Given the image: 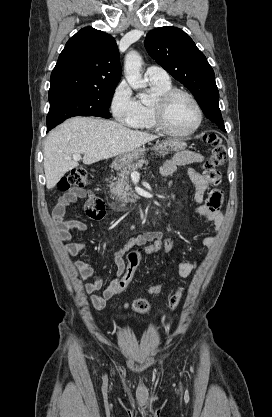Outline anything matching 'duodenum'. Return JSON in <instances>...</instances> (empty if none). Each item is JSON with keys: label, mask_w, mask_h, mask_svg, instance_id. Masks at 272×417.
<instances>
[{"label": "duodenum", "mask_w": 272, "mask_h": 417, "mask_svg": "<svg viewBox=\"0 0 272 417\" xmlns=\"http://www.w3.org/2000/svg\"><path fill=\"white\" fill-rule=\"evenodd\" d=\"M111 207H112L113 209H115V210H118V209H119L118 207H116V206H114V205H111Z\"/></svg>", "instance_id": "1"}]
</instances>
